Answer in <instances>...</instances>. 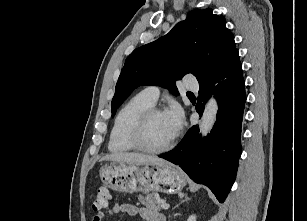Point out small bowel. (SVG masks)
<instances>
[{"mask_svg":"<svg viewBox=\"0 0 307 221\" xmlns=\"http://www.w3.org/2000/svg\"><path fill=\"white\" fill-rule=\"evenodd\" d=\"M119 213H125L130 216L139 215L144 221H165L163 214L156 209L138 208L128 203L115 204L105 211H100L94 216L92 221H103L105 215H117Z\"/></svg>","mask_w":307,"mask_h":221,"instance_id":"small-bowel-1","label":"small bowel"}]
</instances>
